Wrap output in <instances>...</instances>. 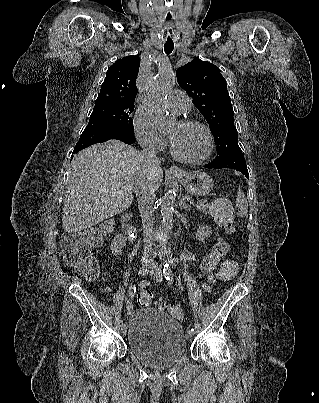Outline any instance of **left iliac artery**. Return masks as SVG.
<instances>
[{
  "instance_id": "1",
  "label": "left iliac artery",
  "mask_w": 319,
  "mask_h": 403,
  "mask_svg": "<svg viewBox=\"0 0 319 403\" xmlns=\"http://www.w3.org/2000/svg\"><path fill=\"white\" fill-rule=\"evenodd\" d=\"M163 274H164L166 280H168L169 282L173 281V273H172V269L169 264L164 265ZM190 332L194 333L195 332L194 328H191Z\"/></svg>"
}]
</instances>
